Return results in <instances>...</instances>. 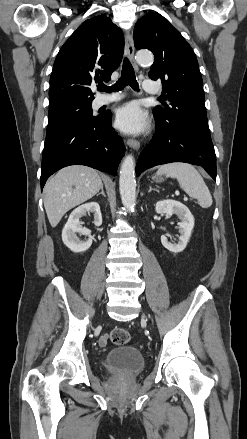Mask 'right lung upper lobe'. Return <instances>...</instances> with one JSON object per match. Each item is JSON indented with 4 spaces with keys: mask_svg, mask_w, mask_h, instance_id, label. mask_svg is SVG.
Masks as SVG:
<instances>
[{
    "mask_svg": "<svg viewBox=\"0 0 247 439\" xmlns=\"http://www.w3.org/2000/svg\"><path fill=\"white\" fill-rule=\"evenodd\" d=\"M124 36L105 16L84 21L61 47L50 77L49 111L92 102L90 86L109 81L120 65Z\"/></svg>",
    "mask_w": 247,
    "mask_h": 439,
    "instance_id": "obj_1",
    "label": "right lung upper lobe"
}]
</instances>
